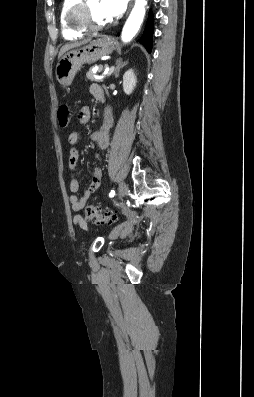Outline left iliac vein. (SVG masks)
<instances>
[{"instance_id": "obj_1", "label": "left iliac vein", "mask_w": 254, "mask_h": 397, "mask_svg": "<svg viewBox=\"0 0 254 397\" xmlns=\"http://www.w3.org/2000/svg\"><path fill=\"white\" fill-rule=\"evenodd\" d=\"M128 192V186L125 182H122L119 191H118V199H122Z\"/></svg>"}]
</instances>
